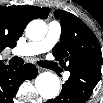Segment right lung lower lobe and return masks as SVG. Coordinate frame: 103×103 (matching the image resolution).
<instances>
[{
	"label": "right lung lower lobe",
	"instance_id": "1",
	"mask_svg": "<svg viewBox=\"0 0 103 103\" xmlns=\"http://www.w3.org/2000/svg\"><path fill=\"white\" fill-rule=\"evenodd\" d=\"M36 76L37 69L32 64L0 67V103H12L21 83Z\"/></svg>",
	"mask_w": 103,
	"mask_h": 103
}]
</instances>
